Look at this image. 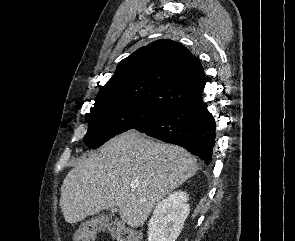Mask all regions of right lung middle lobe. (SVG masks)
<instances>
[{"instance_id": "dd1d6c3e", "label": "right lung middle lobe", "mask_w": 295, "mask_h": 241, "mask_svg": "<svg viewBox=\"0 0 295 241\" xmlns=\"http://www.w3.org/2000/svg\"><path fill=\"white\" fill-rule=\"evenodd\" d=\"M163 111L125 98L98 95L94 107L86 114L89 128L84 142L97 148L120 133L154 120Z\"/></svg>"}]
</instances>
